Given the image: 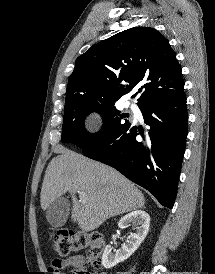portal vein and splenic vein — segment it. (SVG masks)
<instances>
[{"mask_svg": "<svg viewBox=\"0 0 215 274\" xmlns=\"http://www.w3.org/2000/svg\"><path fill=\"white\" fill-rule=\"evenodd\" d=\"M80 201H85L87 196L85 193L78 191Z\"/></svg>", "mask_w": 215, "mask_h": 274, "instance_id": "18ae733b", "label": "portal vein and splenic vein"}]
</instances>
